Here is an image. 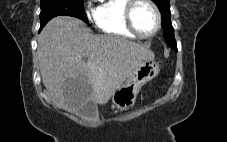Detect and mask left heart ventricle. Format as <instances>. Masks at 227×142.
I'll use <instances>...</instances> for the list:
<instances>
[{
    "label": "left heart ventricle",
    "mask_w": 227,
    "mask_h": 142,
    "mask_svg": "<svg viewBox=\"0 0 227 142\" xmlns=\"http://www.w3.org/2000/svg\"><path fill=\"white\" fill-rule=\"evenodd\" d=\"M134 23L143 34H151L157 27V18L154 10L146 3H140L134 11Z\"/></svg>",
    "instance_id": "obj_1"
}]
</instances>
